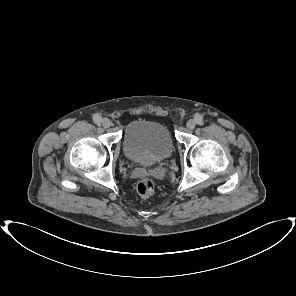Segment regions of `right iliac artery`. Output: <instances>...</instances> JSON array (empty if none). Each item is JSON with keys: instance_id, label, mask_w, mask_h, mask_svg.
<instances>
[{"instance_id": "1", "label": "right iliac artery", "mask_w": 296, "mask_h": 296, "mask_svg": "<svg viewBox=\"0 0 296 296\" xmlns=\"http://www.w3.org/2000/svg\"><path fill=\"white\" fill-rule=\"evenodd\" d=\"M93 120H94V122H95L96 124H100L102 118H101V116H99V115H95V116L93 117Z\"/></svg>"}]
</instances>
